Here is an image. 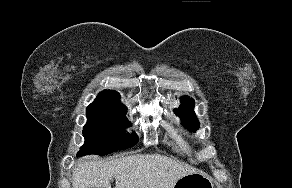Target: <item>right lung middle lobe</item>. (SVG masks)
I'll use <instances>...</instances> for the list:
<instances>
[{"label": "right lung middle lobe", "instance_id": "obj_1", "mask_svg": "<svg viewBox=\"0 0 292 188\" xmlns=\"http://www.w3.org/2000/svg\"><path fill=\"white\" fill-rule=\"evenodd\" d=\"M120 94L101 92L95 102L87 107V124L83 128L85 144L78 156L85 154H109L118 149H126L138 142L137 137L127 134L120 139L129 121L126 107L120 102Z\"/></svg>", "mask_w": 292, "mask_h": 188}]
</instances>
